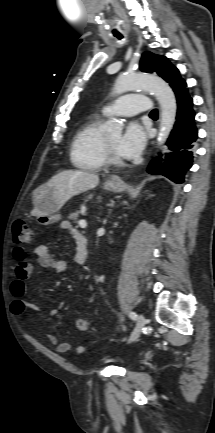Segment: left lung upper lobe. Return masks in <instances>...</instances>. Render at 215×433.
Returning <instances> with one entry per match:
<instances>
[{
  "mask_svg": "<svg viewBox=\"0 0 215 433\" xmlns=\"http://www.w3.org/2000/svg\"><path fill=\"white\" fill-rule=\"evenodd\" d=\"M140 69L147 73L156 72L166 82L180 78L178 69L166 57L144 52L140 61Z\"/></svg>",
  "mask_w": 215,
  "mask_h": 433,
  "instance_id": "left-lung-upper-lobe-1",
  "label": "left lung upper lobe"
}]
</instances>
